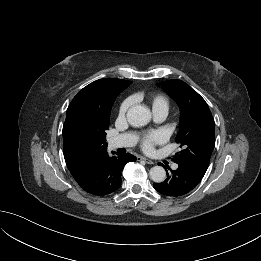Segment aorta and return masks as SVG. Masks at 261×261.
I'll list each match as a JSON object with an SVG mask.
<instances>
[{"label": "aorta", "instance_id": "aorta-1", "mask_svg": "<svg viewBox=\"0 0 261 261\" xmlns=\"http://www.w3.org/2000/svg\"><path fill=\"white\" fill-rule=\"evenodd\" d=\"M127 120L134 127H142L150 122L151 112L147 107L136 105L128 110ZM149 175L156 183H161L166 179V171L161 166L152 167L149 171Z\"/></svg>", "mask_w": 261, "mask_h": 261}]
</instances>
